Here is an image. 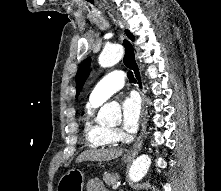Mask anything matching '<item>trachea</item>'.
<instances>
[{"label": "trachea", "instance_id": "1", "mask_svg": "<svg viewBox=\"0 0 221 191\" xmlns=\"http://www.w3.org/2000/svg\"><path fill=\"white\" fill-rule=\"evenodd\" d=\"M128 79H129L131 82H133V83L136 82V80H135L134 75H133L132 72H128Z\"/></svg>", "mask_w": 221, "mask_h": 191}]
</instances>
